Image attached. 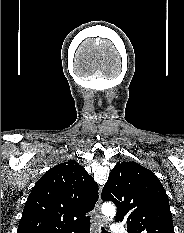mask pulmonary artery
I'll return each instance as SVG.
<instances>
[{"instance_id": "e3ab8cb5", "label": "pulmonary artery", "mask_w": 184, "mask_h": 233, "mask_svg": "<svg viewBox=\"0 0 184 233\" xmlns=\"http://www.w3.org/2000/svg\"><path fill=\"white\" fill-rule=\"evenodd\" d=\"M111 231L113 233H127L126 229L121 224H113L111 227Z\"/></svg>"}]
</instances>
